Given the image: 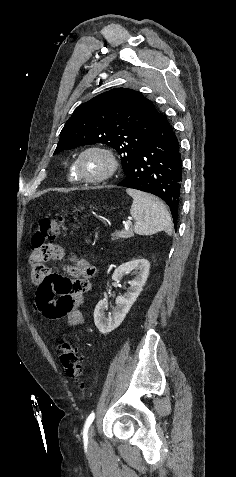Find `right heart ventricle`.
<instances>
[{
	"label": "right heart ventricle",
	"mask_w": 236,
	"mask_h": 477,
	"mask_svg": "<svg viewBox=\"0 0 236 477\" xmlns=\"http://www.w3.org/2000/svg\"><path fill=\"white\" fill-rule=\"evenodd\" d=\"M68 179L72 183H77L79 182L78 177L74 171V166H71L68 171Z\"/></svg>",
	"instance_id": "1"
}]
</instances>
